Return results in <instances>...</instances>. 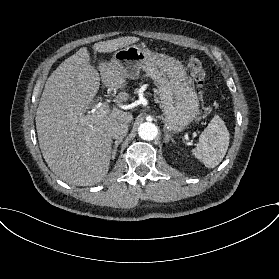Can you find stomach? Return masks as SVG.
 Returning <instances> with one entry per match:
<instances>
[{
	"label": "stomach",
	"mask_w": 279,
	"mask_h": 279,
	"mask_svg": "<svg viewBox=\"0 0 279 279\" xmlns=\"http://www.w3.org/2000/svg\"><path fill=\"white\" fill-rule=\"evenodd\" d=\"M111 63L121 70L124 77L134 79L142 70L154 80L159 88L160 108L167 130L181 132L198 116L197 93L186 68L178 59L130 45L117 50Z\"/></svg>",
	"instance_id": "stomach-1"
}]
</instances>
